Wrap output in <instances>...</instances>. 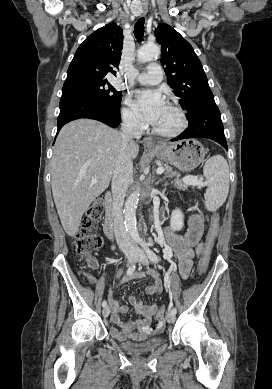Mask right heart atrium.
Masks as SVG:
<instances>
[{
  "label": "right heart atrium",
  "mask_w": 272,
  "mask_h": 389,
  "mask_svg": "<svg viewBox=\"0 0 272 389\" xmlns=\"http://www.w3.org/2000/svg\"><path fill=\"white\" fill-rule=\"evenodd\" d=\"M122 118L126 125L133 129H141L143 127V119L140 113L127 100L122 108Z\"/></svg>",
  "instance_id": "1"
}]
</instances>
